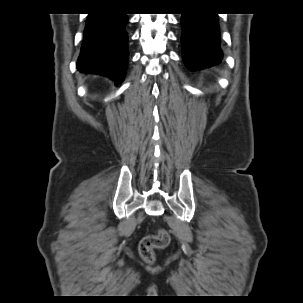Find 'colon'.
<instances>
[{
    "label": "colon",
    "instance_id": "5ec220e1",
    "mask_svg": "<svg viewBox=\"0 0 303 303\" xmlns=\"http://www.w3.org/2000/svg\"><path fill=\"white\" fill-rule=\"evenodd\" d=\"M170 242V236L164 229H159L155 235L146 237L140 244L139 252L142 259L151 264L155 261L156 250L164 249Z\"/></svg>",
    "mask_w": 303,
    "mask_h": 303
}]
</instances>
